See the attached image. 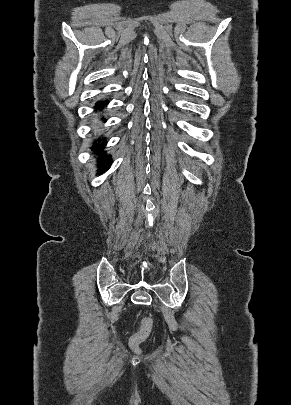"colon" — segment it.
Returning a JSON list of instances; mask_svg holds the SVG:
<instances>
[{"label": "colon", "instance_id": "obj_1", "mask_svg": "<svg viewBox=\"0 0 291 405\" xmlns=\"http://www.w3.org/2000/svg\"><path fill=\"white\" fill-rule=\"evenodd\" d=\"M153 330V319L151 317H144L141 320L138 331L130 339V347L136 352L140 353V345L148 339Z\"/></svg>", "mask_w": 291, "mask_h": 405}]
</instances>
